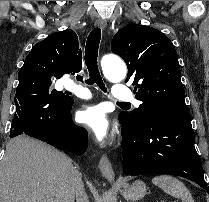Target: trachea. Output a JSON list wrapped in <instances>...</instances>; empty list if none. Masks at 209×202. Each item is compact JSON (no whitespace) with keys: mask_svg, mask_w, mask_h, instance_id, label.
Masks as SVG:
<instances>
[{"mask_svg":"<svg viewBox=\"0 0 209 202\" xmlns=\"http://www.w3.org/2000/svg\"><path fill=\"white\" fill-rule=\"evenodd\" d=\"M101 39V29L99 27L94 28L86 41L85 46V64L87 66L88 72H89V79L83 80V77L78 76L77 80H79L82 83H86L88 85L97 84V86L103 91L107 92V89L105 87V84L102 80V77L100 75L99 69H98V48L99 43ZM118 104H124L127 103L124 102H117Z\"/></svg>","mask_w":209,"mask_h":202,"instance_id":"trachea-1","label":"trachea"}]
</instances>
